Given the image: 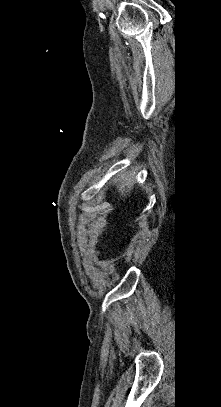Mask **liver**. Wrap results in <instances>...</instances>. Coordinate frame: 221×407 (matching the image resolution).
I'll use <instances>...</instances> for the list:
<instances>
[{
	"label": "liver",
	"mask_w": 221,
	"mask_h": 407,
	"mask_svg": "<svg viewBox=\"0 0 221 407\" xmlns=\"http://www.w3.org/2000/svg\"><path fill=\"white\" fill-rule=\"evenodd\" d=\"M118 192L121 196H126L130 193L134 186V174L130 172H123L120 174L119 178L114 180Z\"/></svg>",
	"instance_id": "6515ba94"
}]
</instances>
